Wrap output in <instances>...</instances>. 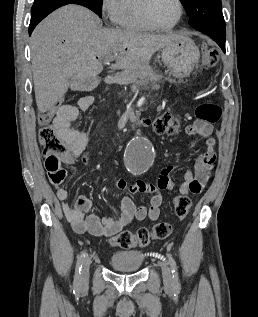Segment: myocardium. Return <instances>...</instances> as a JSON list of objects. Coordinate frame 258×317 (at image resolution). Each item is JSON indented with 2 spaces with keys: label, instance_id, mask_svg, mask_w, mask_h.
<instances>
[{
  "label": "myocardium",
  "instance_id": "f54148a6",
  "mask_svg": "<svg viewBox=\"0 0 258 317\" xmlns=\"http://www.w3.org/2000/svg\"><path fill=\"white\" fill-rule=\"evenodd\" d=\"M155 0H145L141 6L140 9V21L142 23V25L147 29V30H152V31H169L174 29L178 23L180 22L182 15H183V5H182V1L181 0H175V2L177 3L178 6V16L177 19L175 20V22L173 24H171L170 26L167 27H161V26H155L154 24H152V22L149 19L148 16V12H149V8L151 6V4L154 2Z\"/></svg>",
  "mask_w": 258,
  "mask_h": 317
}]
</instances>
